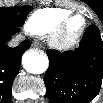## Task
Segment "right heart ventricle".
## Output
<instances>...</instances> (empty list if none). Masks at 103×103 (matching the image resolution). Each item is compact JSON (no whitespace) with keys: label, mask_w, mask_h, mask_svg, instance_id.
<instances>
[{"label":"right heart ventricle","mask_w":103,"mask_h":103,"mask_svg":"<svg viewBox=\"0 0 103 103\" xmlns=\"http://www.w3.org/2000/svg\"><path fill=\"white\" fill-rule=\"evenodd\" d=\"M70 13V10L60 7L38 9L29 17L26 30L33 35L48 34L60 20Z\"/></svg>","instance_id":"1"}]
</instances>
